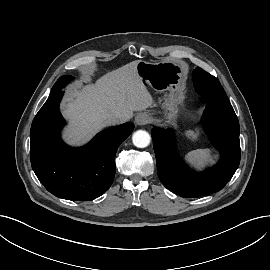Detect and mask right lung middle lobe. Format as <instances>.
Segmentation results:
<instances>
[{"mask_svg":"<svg viewBox=\"0 0 270 270\" xmlns=\"http://www.w3.org/2000/svg\"><path fill=\"white\" fill-rule=\"evenodd\" d=\"M73 77L70 75H65L60 77L57 82L54 84L51 93L58 91L59 89H62L64 84L68 83Z\"/></svg>","mask_w":270,"mask_h":270,"instance_id":"right-lung-middle-lobe-1","label":"right lung middle lobe"}]
</instances>
